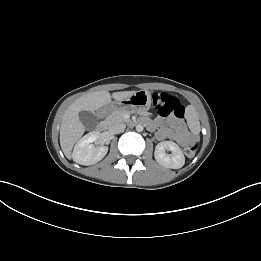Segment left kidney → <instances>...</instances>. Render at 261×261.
<instances>
[{"instance_id":"5707ae66","label":"left kidney","mask_w":261,"mask_h":261,"mask_svg":"<svg viewBox=\"0 0 261 261\" xmlns=\"http://www.w3.org/2000/svg\"><path fill=\"white\" fill-rule=\"evenodd\" d=\"M169 149L172 154L167 155ZM155 160L162 166L171 169H179L185 164V157L180 147L172 141H163L157 144L154 152Z\"/></svg>"}]
</instances>
